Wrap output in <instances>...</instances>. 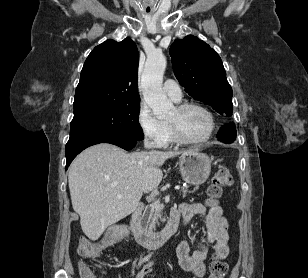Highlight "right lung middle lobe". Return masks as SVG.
<instances>
[{
    "instance_id": "right-lung-middle-lobe-1",
    "label": "right lung middle lobe",
    "mask_w": 308,
    "mask_h": 278,
    "mask_svg": "<svg viewBox=\"0 0 308 278\" xmlns=\"http://www.w3.org/2000/svg\"><path fill=\"white\" fill-rule=\"evenodd\" d=\"M138 104L119 105L74 115L70 124V138L83 135H119L142 140L138 122Z\"/></svg>"
}]
</instances>
